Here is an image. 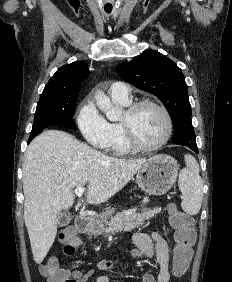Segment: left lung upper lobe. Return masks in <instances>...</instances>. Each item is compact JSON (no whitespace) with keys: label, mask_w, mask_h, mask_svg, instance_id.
<instances>
[{"label":"left lung upper lobe","mask_w":232,"mask_h":282,"mask_svg":"<svg viewBox=\"0 0 232 282\" xmlns=\"http://www.w3.org/2000/svg\"><path fill=\"white\" fill-rule=\"evenodd\" d=\"M116 70L121 78L162 101L173 120L177 141L196 145L187 84L173 61L157 51H148Z\"/></svg>","instance_id":"1"}]
</instances>
